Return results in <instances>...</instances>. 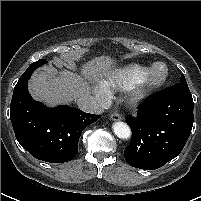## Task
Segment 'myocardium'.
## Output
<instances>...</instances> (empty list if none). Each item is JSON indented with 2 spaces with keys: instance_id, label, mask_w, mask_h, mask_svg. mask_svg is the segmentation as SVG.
<instances>
[{
  "instance_id": "1",
  "label": "myocardium",
  "mask_w": 201,
  "mask_h": 201,
  "mask_svg": "<svg viewBox=\"0 0 201 201\" xmlns=\"http://www.w3.org/2000/svg\"><path fill=\"white\" fill-rule=\"evenodd\" d=\"M162 65L164 67V74L156 79H150V74L152 70L158 66ZM169 76L168 66L163 62H156L151 67L147 69L145 74L130 87L129 100L133 104H140L145 102L157 89L162 87Z\"/></svg>"
}]
</instances>
